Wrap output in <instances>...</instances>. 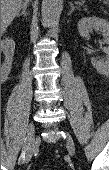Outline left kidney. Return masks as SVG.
<instances>
[{"instance_id": "obj_1", "label": "left kidney", "mask_w": 109, "mask_h": 170, "mask_svg": "<svg viewBox=\"0 0 109 170\" xmlns=\"http://www.w3.org/2000/svg\"><path fill=\"white\" fill-rule=\"evenodd\" d=\"M92 29L100 31L105 42L109 43V22L107 20L98 17H85L78 22V30L81 37L88 38ZM104 52L107 54L106 58L102 60L92 58L91 63L98 72L107 74L109 71V48H104Z\"/></svg>"}]
</instances>
